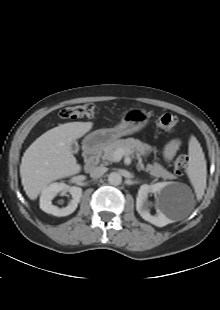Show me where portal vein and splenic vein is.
I'll return each mask as SVG.
<instances>
[{
	"label": "portal vein and splenic vein",
	"instance_id": "portal-vein-and-splenic-vein-1",
	"mask_svg": "<svg viewBox=\"0 0 220 310\" xmlns=\"http://www.w3.org/2000/svg\"><path fill=\"white\" fill-rule=\"evenodd\" d=\"M132 151L124 150V149H117L114 153L115 158L119 161L121 158L126 154H131Z\"/></svg>",
	"mask_w": 220,
	"mask_h": 310
}]
</instances>
